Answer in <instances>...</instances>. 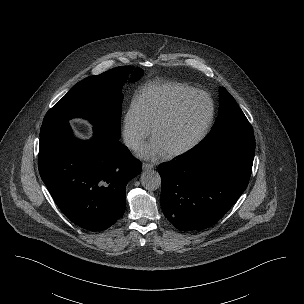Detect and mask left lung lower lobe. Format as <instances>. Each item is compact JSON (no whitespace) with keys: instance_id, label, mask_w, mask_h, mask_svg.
I'll use <instances>...</instances> for the list:
<instances>
[{"instance_id":"obj_1","label":"left lung lower lobe","mask_w":304,"mask_h":304,"mask_svg":"<svg viewBox=\"0 0 304 304\" xmlns=\"http://www.w3.org/2000/svg\"><path fill=\"white\" fill-rule=\"evenodd\" d=\"M254 153V135H236L159 165L165 217L181 231L214 225L246 189Z\"/></svg>"}]
</instances>
